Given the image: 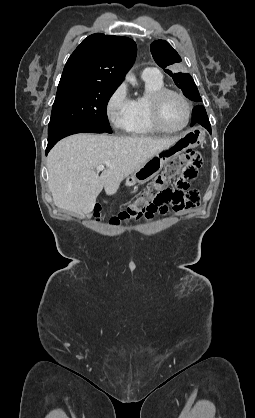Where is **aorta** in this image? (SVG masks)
Here are the masks:
<instances>
[{
    "label": "aorta",
    "instance_id": "1",
    "mask_svg": "<svg viewBox=\"0 0 255 418\" xmlns=\"http://www.w3.org/2000/svg\"><path fill=\"white\" fill-rule=\"evenodd\" d=\"M126 80L130 82L133 86L137 84L135 77L132 75H126Z\"/></svg>",
    "mask_w": 255,
    "mask_h": 418
}]
</instances>
